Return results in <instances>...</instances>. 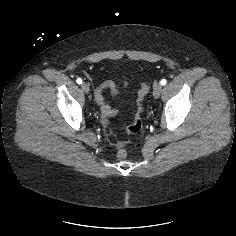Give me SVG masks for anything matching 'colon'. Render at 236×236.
Returning <instances> with one entry per match:
<instances>
[{
    "instance_id": "1",
    "label": "colon",
    "mask_w": 236,
    "mask_h": 236,
    "mask_svg": "<svg viewBox=\"0 0 236 236\" xmlns=\"http://www.w3.org/2000/svg\"><path fill=\"white\" fill-rule=\"evenodd\" d=\"M147 92H148V86L146 84H142L141 88L139 90V109L134 117L133 122L126 127L127 133H130V134L137 133L142 129L143 122H142V117H141V114H142L141 101H142L143 97L147 94ZM117 156L120 159L126 158L127 151L123 146H121L118 149Z\"/></svg>"
}]
</instances>
